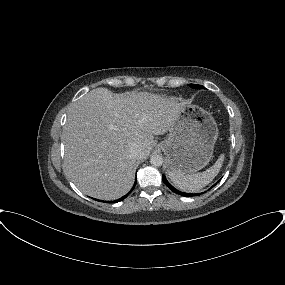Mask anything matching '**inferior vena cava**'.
<instances>
[{
    "instance_id": "602c4592",
    "label": "inferior vena cava",
    "mask_w": 285,
    "mask_h": 285,
    "mask_svg": "<svg viewBox=\"0 0 285 285\" xmlns=\"http://www.w3.org/2000/svg\"><path fill=\"white\" fill-rule=\"evenodd\" d=\"M140 153H141V148L139 145H137V144L131 145L130 154L132 157L138 159L140 157Z\"/></svg>"
}]
</instances>
